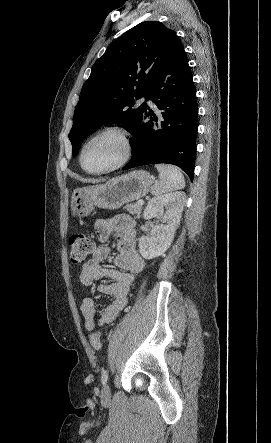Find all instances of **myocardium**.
I'll list each match as a JSON object with an SVG mask.
<instances>
[{"label":"myocardium","instance_id":"myocardium-1","mask_svg":"<svg viewBox=\"0 0 271 443\" xmlns=\"http://www.w3.org/2000/svg\"><path fill=\"white\" fill-rule=\"evenodd\" d=\"M109 132H114L117 133L124 144V152L122 157L120 158V160L118 162H116L114 165L102 169V170H89L85 167L84 162H83V154L85 151L86 146L96 137L103 135L105 133H109ZM133 152H134V143H133V139H132V135L130 133V131L121 126V125H109V126H105L103 128H101L100 130H98L97 132H95L94 134H92L82 145L80 153H79V164L82 168L83 171H85L88 174H105V173H109L112 172L114 170H117L119 168H121L122 166H124L125 164H127L130 159L133 156Z\"/></svg>","mask_w":271,"mask_h":443}]
</instances>
